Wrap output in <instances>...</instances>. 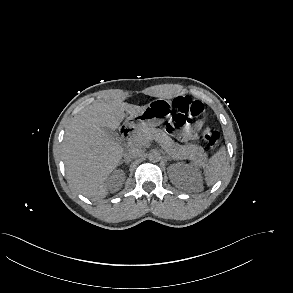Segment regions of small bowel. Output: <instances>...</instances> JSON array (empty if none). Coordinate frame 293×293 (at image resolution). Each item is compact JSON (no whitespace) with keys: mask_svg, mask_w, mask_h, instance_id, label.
I'll return each instance as SVG.
<instances>
[{"mask_svg":"<svg viewBox=\"0 0 293 293\" xmlns=\"http://www.w3.org/2000/svg\"><path fill=\"white\" fill-rule=\"evenodd\" d=\"M203 122L202 120H198L194 122L192 125L187 127L183 133L184 139L186 140H194L197 138L196 132L201 128Z\"/></svg>","mask_w":293,"mask_h":293,"instance_id":"c3829d8e","label":"small bowel"}]
</instances>
